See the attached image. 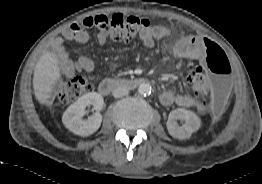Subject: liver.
<instances>
[{"mask_svg": "<svg viewBox=\"0 0 262 184\" xmlns=\"http://www.w3.org/2000/svg\"><path fill=\"white\" fill-rule=\"evenodd\" d=\"M61 78L57 56L47 51L37 61L33 74V89L40 104L49 105L56 83Z\"/></svg>", "mask_w": 262, "mask_h": 184, "instance_id": "6515ba94", "label": "liver"}]
</instances>
